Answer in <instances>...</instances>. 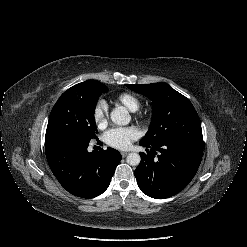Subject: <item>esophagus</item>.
Here are the masks:
<instances>
[{
	"mask_svg": "<svg viewBox=\"0 0 247 247\" xmlns=\"http://www.w3.org/2000/svg\"><path fill=\"white\" fill-rule=\"evenodd\" d=\"M122 157H126L128 155V152H121Z\"/></svg>",
	"mask_w": 247,
	"mask_h": 247,
	"instance_id": "obj_1",
	"label": "esophagus"
}]
</instances>
